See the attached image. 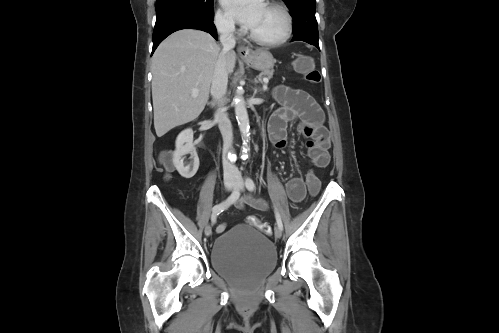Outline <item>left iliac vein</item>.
Wrapping results in <instances>:
<instances>
[{"mask_svg":"<svg viewBox=\"0 0 499 333\" xmlns=\"http://www.w3.org/2000/svg\"><path fill=\"white\" fill-rule=\"evenodd\" d=\"M235 188L240 190V191L244 190V181H243L242 177L239 175L236 176V178H235ZM274 233H275L276 238H281L282 230L278 226L275 227Z\"/></svg>","mask_w":499,"mask_h":333,"instance_id":"4c4485c4","label":"left iliac vein"}]
</instances>
